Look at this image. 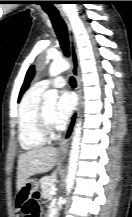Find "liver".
Listing matches in <instances>:
<instances>
[{
	"instance_id": "1",
	"label": "liver",
	"mask_w": 132,
	"mask_h": 217,
	"mask_svg": "<svg viewBox=\"0 0 132 217\" xmlns=\"http://www.w3.org/2000/svg\"><path fill=\"white\" fill-rule=\"evenodd\" d=\"M57 156L58 150L53 147L34 148L20 154L17 167V190L23 188L30 176L49 172L55 166Z\"/></svg>"
}]
</instances>
